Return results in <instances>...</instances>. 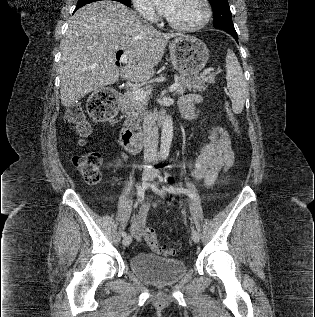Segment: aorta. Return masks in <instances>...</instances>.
Listing matches in <instances>:
<instances>
[{
  "label": "aorta",
  "instance_id": "obj_1",
  "mask_svg": "<svg viewBox=\"0 0 315 317\" xmlns=\"http://www.w3.org/2000/svg\"><path fill=\"white\" fill-rule=\"evenodd\" d=\"M173 138V122L170 116H167L162 125L160 155L163 159L169 155Z\"/></svg>",
  "mask_w": 315,
  "mask_h": 317
}]
</instances>
